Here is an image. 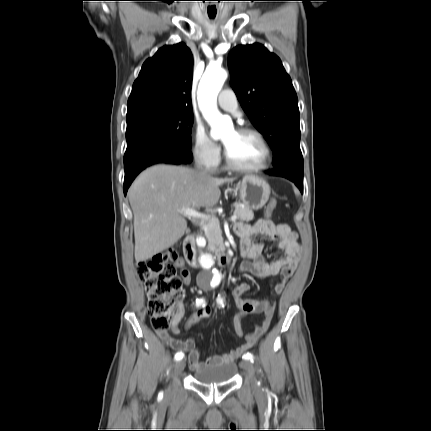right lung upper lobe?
<instances>
[{
	"label": "right lung upper lobe",
	"instance_id": "1",
	"mask_svg": "<svg viewBox=\"0 0 431 431\" xmlns=\"http://www.w3.org/2000/svg\"><path fill=\"white\" fill-rule=\"evenodd\" d=\"M193 57L184 43L166 45L147 59L127 103V118L151 112L192 113Z\"/></svg>",
	"mask_w": 431,
	"mask_h": 431
}]
</instances>
